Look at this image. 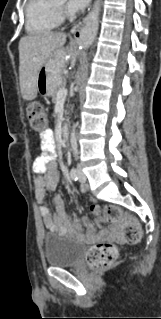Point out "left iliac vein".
<instances>
[{
  "label": "left iliac vein",
  "mask_w": 161,
  "mask_h": 319,
  "mask_svg": "<svg viewBox=\"0 0 161 319\" xmlns=\"http://www.w3.org/2000/svg\"><path fill=\"white\" fill-rule=\"evenodd\" d=\"M79 181L81 183L86 182V176L84 175V173L81 170H79Z\"/></svg>",
  "instance_id": "1"
}]
</instances>
